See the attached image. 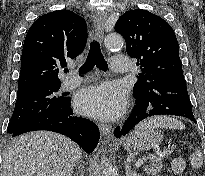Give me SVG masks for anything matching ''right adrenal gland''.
<instances>
[{"label": "right adrenal gland", "instance_id": "right-adrenal-gland-1", "mask_svg": "<svg viewBox=\"0 0 205 176\" xmlns=\"http://www.w3.org/2000/svg\"><path fill=\"white\" fill-rule=\"evenodd\" d=\"M79 174L77 173L76 176H84V167L82 165L79 166Z\"/></svg>", "mask_w": 205, "mask_h": 176}]
</instances>
